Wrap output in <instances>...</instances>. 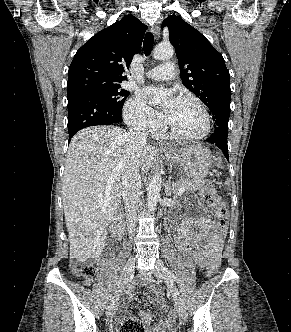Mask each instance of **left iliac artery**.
Wrapping results in <instances>:
<instances>
[{
    "mask_svg": "<svg viewBox=\"0 0 291 332\" xmlns=\"http://www.w3.org/2000/svg\"><path fill=\"white\" fill-rule=\"evenodd\" d=\"M164 269L166 270V272L168 273V275L172 279V281H176L175 275L168 268L165 267Z\"/></svg>",
    "mask_w": 291,
    "mask_h": 332,
    "instance_id": "1",
    "label": "left iliac artery"
}]
</instances>
